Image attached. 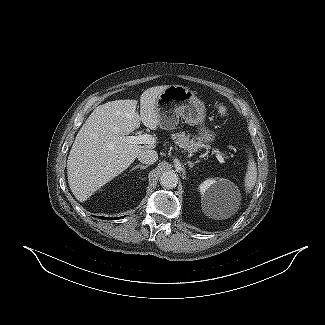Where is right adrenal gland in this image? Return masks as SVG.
Returning <instances> with one entry per match:
<instances>
[{"instance_id":"right-adrenal-gland-1","label":"right adrenal gland","mask_w":325,"mask_h":325,"mask_svg":"<svg viewBox=\"0 0 325 325\" xmlns=\"http://www.w3.org/2000/svg\"><path fill=\"white\" fill-rule=\"evenodd\" d=\"M147 167H148V165H141V164H139V165L134 166L131 170H135L137 168L146 169Z\"/></svg>"}]
</instances>
